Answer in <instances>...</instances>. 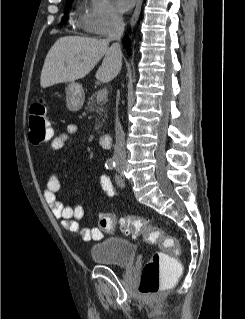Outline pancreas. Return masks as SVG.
<instances>
[{
	"instance_id": "1",
	"label": "pancreas",
	"mask_w": 245,
	"mask_h": 319,
	"mask_svg": "<svg viewBox=\"0 0 245 319\" xmlns=\"http://www.w3.org/2000/svg\"><path fill=\"white\" fill-rule=\"evenodd\" d=\"M97 95H98V93H94L93 95H91V97L89 98V101L87 102V106L85 109L87 111H94L96 109V111L99 115L101 114V112H104V117H106L107 113L104 110V105L106 104V101L105 100L98 101ZM103 122H104V119H102V121H100L99 119L96 120L95 130L97 132H100L99 130L102 127Z\"/></svg>"
}]
</instances>
